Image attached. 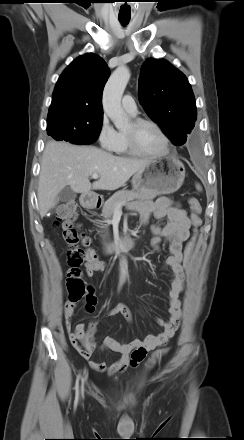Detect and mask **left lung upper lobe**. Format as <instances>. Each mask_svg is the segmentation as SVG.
<instances>
[{"label":"left lung upper lobe","instance_id":"left-lung-upper-lobe-1","mask_svg":"<svg viewBox=\"0 0 244 440\" xmlns=\"http://www.w3.org/2000/svg\"><path fill=\"white\" fill-rule=\"evenodd\" d=\"M139 100L174 145H183L195 126L196 103L186 76L163 59H147L140 71Z\"/></svg>","mask_w":244,"mask_h":440}]
</instances>
